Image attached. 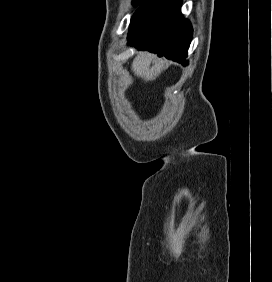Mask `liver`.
I'll list each match as a JSON object with an SVG mask.
<instances>
[{"instance_id": "6515ba94", "label": "liver", "mask_w": 272, "mask_h": 282, "mask_svg": "<svg viewBox=\"0 0 272 282\" xmlns=\"http://www.w3.org/2000/svg\"><path fill=\"white\" fill-rule=\"evenodd\" d=\"M155 58L154 55L148 52H140L132 63V71L137 77H141L145 81L154 80L164 67V60L159 59L152 67L151 63Z\"/></svg>"}]
</instances>
